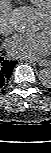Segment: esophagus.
I'll use <instances>...</instances> for the list:
<instances>
[{"instance_id": "esophagus-1", "label": "esophagus", "mask_w": 51, "mask_h": 153, "mask_svg": "<svg viewBox=\"0 0 51 153\" xmlns=\"http://www.w3.org/2000/svg\"><path fill=\"white\" fill-rule=\"evenodd\" d=\"M29 62H32V61H29ZM36 63L39 66H45V67L50 65V61L48 60H39Z\"/></svg>"}]
</instances>
